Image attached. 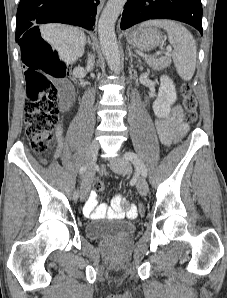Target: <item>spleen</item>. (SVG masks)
<instances>
[{"label": "spleen", "instance_id": "3e777b00", "mask_svg": "<svg viewBox=\"0 0 227 298\" xmlns=\"http://www.w3.org/2000/svg\"><path fill=\"white\" fill-rule=\"evenodd\" d=\"M143 25L163 28L170 44L173 46V62L179 76L189 81L192 79L196 66V43L192 34L181 24L171 20H151Z\"/></svg>", "mask_w": 227, "mask_h": 298}]
</instances>
